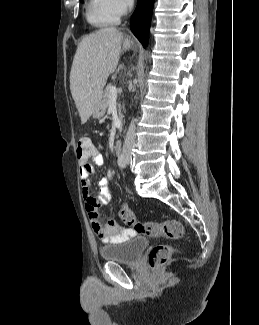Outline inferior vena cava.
Returning a JSON list of instances; mask_svg holds the SVG:
<instances>
[{
    "label": "inferior vena cava",
    "instance_id": "1",
    "mask_svg": "<svg viewBox=\"0 0 259 325\" xmlns=\"http://www.w3.org/2000/svg\"><path fill=\"white\" fill-rule=\"evenodd\" d=\"M134 0H127V5L129 9L131 10L133 8ZM135 121H132L126 137H125V143H124V148L129 149L134 146L135 144Z\"/></svg>",
    "mask_w": 259,
    "mask_h": 325
}]
</instances>
